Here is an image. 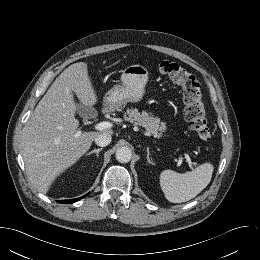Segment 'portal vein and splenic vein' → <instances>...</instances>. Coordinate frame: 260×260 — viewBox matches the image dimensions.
<instances>
[{
    "label": "portal vein and splenic vein",
    "instance_id": "obj_1",
    "mask_svg": "<svg viewBox=\"0 0 260 260\" xmlns=\"http://www.w3.org/2000/svg\"><path fill=\"white\" fill-rule=\"evenodd\" d=\"M111 127H112V123H110V122H108V121H103V122L97 123V124L94 126V128H95L96 130H100V131L105 130V129H109V128H111ZM186 159H187V161H188V164H189L190 168H193V167H192V164H193V163L191 162V160H190V158H189L188 155H186Z\"/></svg>",
    "mask_w": 260,
    "mask_h": 260
}]
</instances>
